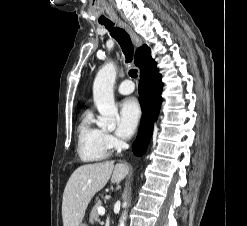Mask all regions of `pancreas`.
<instances>
[{
    "mask_svg": "<svg viewBox=\"0 0 247 226\" xmlns=\"http://www.w3.org/2000/svg\"><path fill=\"white\" fill-rule=\"evenodd\" d=\"M101 201L100 200H96L95 205L92 208V211L90 213V221L91 223H96L99 222V213H98V208L101 206Z\"/></svg>",
    "mask_w": 247,
    "mask_h": 226,
    "instance_id": "1",
    "label": "pancreas"
}]
</instances>
